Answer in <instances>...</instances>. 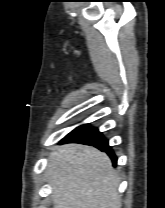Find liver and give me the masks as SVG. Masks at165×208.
Segmentation results:
<instances>
[{"instance_id":"liver-1","label":"liver","mask_w":165,"mask_h":208,"mask_svg":"<svg viewBox=\"0 0 165 208\" xmlns=\"http://www.w3.org/2000/svg\"><path fill=\"white\" fill-rule=\"evenodd\" d=\"M53 208H120V179L98 149L66 144L50 154L46 169Z\"/></svg>"}]
</instances>
